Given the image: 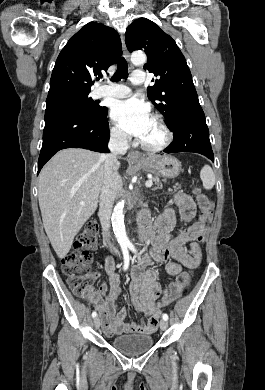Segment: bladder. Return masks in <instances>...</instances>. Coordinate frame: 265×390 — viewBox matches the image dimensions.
I'll return each instance as SVG.
<instances>
[{"mask_svg":"<svg viewBox=\"0 0 265 390\" xmlns=\"http://www.w3.org/2000/svg\"><path fill=\"white\" fill-rule=\"evenodd\" d=\"M153 342V337L147 334L121 335L111 339L112 346L127 356H138L147 352Z\"/></svg>","mask_w":265,"mask_h":390,"instance_id":"obj_1","label":"bladder"}]
</instances>
